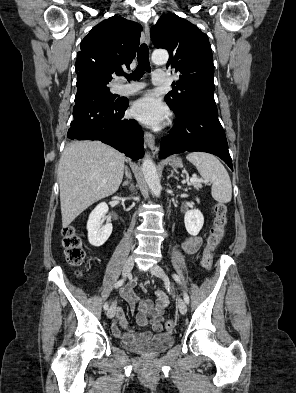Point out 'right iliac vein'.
Segmentation results:
<instances>
[{
    "label": "right iliac vein",
    "mask_w": 296,
    "mask_h": 393,
    "mask_svg": "<svg viewBox=\"0 0 296 393\" xmlns=\"http://www.w3.org/2000/svg\"><path fill=\"white\" fill-rule=\"evenodd\" d=\"M133 266H134V256L131 255V256H129V258L125 262V265H124V268H123V277L126 278L130 274ZM115 309H116L115 304H112L111 307L109 308V310L107 311V317L108 318L111 319V318L114 317Z\"/></svg>",
    "instance_id": "right-iliac-vein-1"
}]
</instances>
